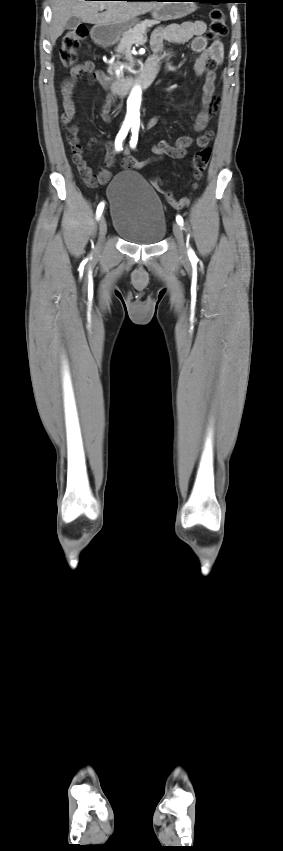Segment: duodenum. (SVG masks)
Masks as SVG:
<instances>
[{
    "label": "duodenum",
    "instance_id": "1",
    "mask_svg": "<svg viewBox=\"0 0 283 851\" xmlns=\"http://www.w3.org/2000/svg\"><path fill=\"white\" fill-rule=\"evenodd\" d=\"M97 40L101 43H106L107 39L102 32H98ZM159 70V61L155 58H150L145 64L142 73L136 78H118L110 83V87L116 89L117 96H125L134 86L148 87L154 81Z\"/></svg>",
    "mask_w": 283,
    "mask_h": 851
}]
</instances>
